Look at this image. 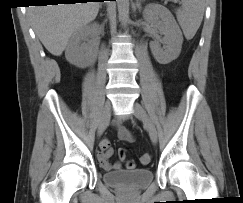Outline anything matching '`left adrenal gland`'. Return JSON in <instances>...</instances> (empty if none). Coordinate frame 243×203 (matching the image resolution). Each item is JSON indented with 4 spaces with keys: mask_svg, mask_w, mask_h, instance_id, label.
<instances>
[{
    "mask_svg": "<svg viewBox=\"0 0 243 203\" xmlns=\"http://www.w3.org/2000/svg\"><path fill=\"white\" fill-rule=\"evenodd\" d=\"M141 1H143V0H136V8L139 10V12H141V10H142V7H141Z\"/></svg>",
    "mask_w": 243,
    "mask_h": 203,
    "instance_id": "obj_1",
    "label": "left adrenal gland"
}]
</instances>
